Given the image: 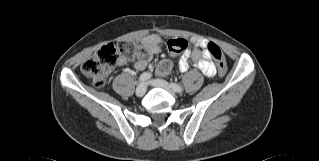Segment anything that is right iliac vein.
<instances>
[{"label": "right iliac vein", "mask_w": 319, "mask_h": 161, "mask_svg": "<svg viewBox=\"0 0 319 161\" xmlns=\"http://www.w3.org/2000/svg\"><path fill=\"white\" fill-rule=\"evenodd\" d=\"M147 91V86L144 83H141L138 85V87L136 88V95L138 97L143 96Z\"/></svg>", "instance_id": "right-iliac-vein-1"}]
</instances>
